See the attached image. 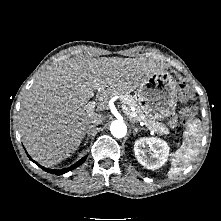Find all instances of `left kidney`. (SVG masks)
Returning <instances> with one entry per match:
<instances>
[{"instance_id": "1", "label": "left kidney", "mask_w": 221, "mask_h": 221, "mask_svg": "<svg viewBox=\"0 0 221 221\" xmlns=\"http://www.w3.org/2000/svg\"><path fill=\"white\" fill-rule=\"evenodd\" d=\"M134 153L142 166L155 170L167 161L169 146L159 138H140L134 144Z\"/></svg>"}]
</instances>
